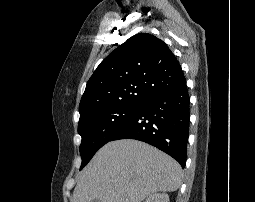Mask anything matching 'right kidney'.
Segmentation results:
<instances>
[{"instance_id": "right-kidney-1", "label": "right kidney", "mask_w": 255, "mask_h": 202, "mask_svg": "<svg viewBox=\"0 0 255 202\" xmlns=\"http://www.w3.org/2000/svg\"><path fill=\"white\" fill-rule=\"evenodd\" d=\"M145 202H169V196L166 193H155L150 195Z\"/></svg>"}]
</instances>
